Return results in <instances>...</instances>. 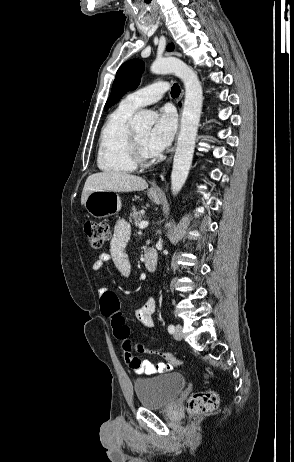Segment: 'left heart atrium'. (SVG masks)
Segmentation results:
<instances>
[{"mask_svg":"<svg viewBox=\"0 0 294 462\" xmlns=\"http://www.w3.org/2000/svg\"><path fill=\"white\" fill-rule=\"evenodd\" d=\"M176 131V115L170 107H164L156 114L155 123L147 138V147L156 155L167 148Z\"/></svg>","mask_w":294,"mask_h":462,"instance_id":"39dd6f15","label":"left heart atrium"}]
</instances>
